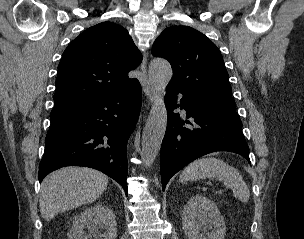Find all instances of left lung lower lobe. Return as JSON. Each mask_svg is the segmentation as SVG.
Wrapping results in <instances>:
<instances>
[{
  "instance_id": "1",
  "label": "left lung lower lobe",
  "mask_w": 304,
  "mask_h": 239,
  "mask_svg": "<svg viewBox=\"0 0 304 239\" xmlns=\"http://www.w3.org/2000/svg\"><path fill=\"white\" fill-rule=\"evenodd\" d=\"M167 87L165 104L168 123L162 141L160 170L162 189L170 178L193 160L216 151H229L245 157L249 162V148L242 133V123L236 111L202 104L183 96ZM186 110L191 121L181 120L177 107ZM188 123L192 128L183 125Z\"/></svg>"
}]
</instances>
